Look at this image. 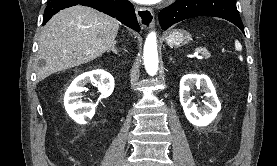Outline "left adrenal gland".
Wrapping results in <instances>:
<instances>
[{
    "label": "left adrenal gland",
    "mask_w": 277,
    "mask_h": 166,
    "mask_svg": "<svg viewBox=\"0 0 277 166\" xmlns=\"http://www.w3.org/2000/svg\"><path fill=\"white\" fill-rule=\"evenodd\" d=\"M173 60V58L172 57H170V61H172Z\"/></svg>",
    "instance_id": "left-adrenal-gland-1"
}]
</instances>
